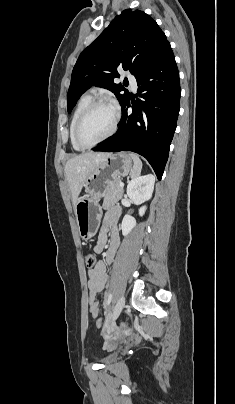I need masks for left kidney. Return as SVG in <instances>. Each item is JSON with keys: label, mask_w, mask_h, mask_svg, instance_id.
<instances>
[{"label": "left kidney", "mask_w": 235, "mask_h": 404, "mask_svg": "<svg viewBox=\"0 0 235 404\" xmlns=\"http://www.w3.org/2000/svg\"><path fill=\"white\" fill-rule=\"evenodd\" d=\"M155 177L152 174L138 176L132 179L127 186V195L134 204H142L152 197ZM146 206L139 209V215L143 216ZM136 226V220L131 215H125L122 220L121 229L123 236H127Z\"/></svg>", "instance_id": "left-kidney-1"}]
</instances>
